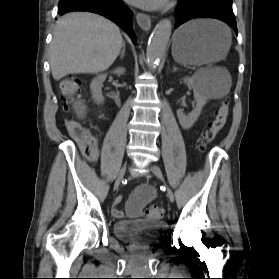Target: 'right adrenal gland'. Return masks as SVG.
I'll list each match as a JSON object with an SVG mask.
<instances>
[{"instance_id":"1","label":"right adrenal gland","mask_w":279,"mask_h":279,"mask_svg":"<svg viewBox=\"0 0 279 279\" xmlns=\"http://www.w3.org/2000/svg\"><path fill=\"white\" fill-rule=\"evenodd\" d=\"M124 54H125V42H123L122 51H121V53H120V58H121V59L124 58Z\"/></svg>"}]
</instances>
